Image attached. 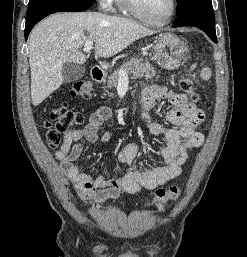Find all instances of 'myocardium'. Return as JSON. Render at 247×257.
I'll return each instance as SVG.
<instances>
[{
  "label": "myocardium",
  "mask_w": 247,
  "mask_h": 257,
  "mask_svg": "<svg viewBox=\"0 0 247 257\" xmlns=\"http://www.w3.org/2000/svg\"><path fill=\"white\" fill-rule=\"evenodd\" d=\"M122 1H123L125 9L130 14H132L139 20H141L149 25L156 26V27H161V26H165L166 24H168L172 20L173 16L176 13V10H177V0H171V9H170L169 13L167 14V16L164 17L162 20H153V19L147 17L146 15H144L140 11L135 0H122Z\"/></svg>",
  "instance_id": "myocardium-1"
}]
</instances>
